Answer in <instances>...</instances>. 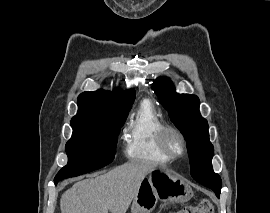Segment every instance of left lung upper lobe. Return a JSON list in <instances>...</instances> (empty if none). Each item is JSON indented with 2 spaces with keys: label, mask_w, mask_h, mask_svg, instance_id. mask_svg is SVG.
Instances as JSON below:
<instances>
[{
  "label": "left lung upper lobe",
  "mask_w": 270,
  "mask_h": 213,
  "mask_svg": "<svg viewBox=\"0 0 270 213\" xmlns=\"http://www.w3.org/2000/svg\"><path fill=\"white\" fill-rule=\"evenodd\" d=\"M153 89L169 111L171 121L185 135L192 177L202 185L221 192V178L213 171V145L209 140L207 121L200 115L197 96L177 94L168 78H158Z\"/></svg>",
  "instance_id": "obj_1"
}]
</instances>
